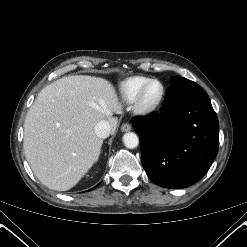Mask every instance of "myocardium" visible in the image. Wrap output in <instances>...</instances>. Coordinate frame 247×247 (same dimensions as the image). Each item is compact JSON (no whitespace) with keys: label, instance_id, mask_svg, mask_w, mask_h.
Masks as SVG:
<instances>
[{"label":"myocardium","instance_id":"f54148a6","mask_svg":"<svg viewBox=\"0 0 247 247\" xmlns=\"http://www.w3.org/2000/svg\"><path fill=\"white\" fill-rule=\"evenodd\" d=\"M159 84L161 87V92L159 97L151 104H146L144 102V96L146 94V91L152 84ZM165 96V87L163 83L160 80L157 79H151L148 81L145 85L142 86V88L137 93L135 99L133 100V111L137 115H148L153 113L155 110L158 109L160 104L162 103Z\"/></svg>","mask_w":247,"mask_h":247}]
</instances>
